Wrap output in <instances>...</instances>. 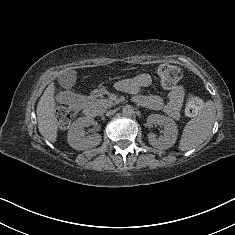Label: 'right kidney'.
<instances>
[{
	"label": "right kidney",
	"instance_id": "ca27d5eb",
	"mask_svg": "<svg viewBox=\"0 0 235 235\" xmlns=\"http://www.w3.org/2000/svg\"><path fill=\"white\" fill-rule=\"evenodd\" d=\"M84 119H77L68 133V142L71 147L83 150L92 148L99 144L100 135L98 133L92 135H85V127L88 125Z\"/></svg>",
	"mask_w": 235,
	"mask_h": 235
}]
</instances>
